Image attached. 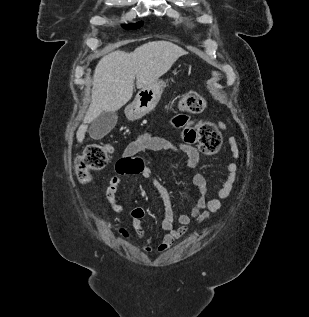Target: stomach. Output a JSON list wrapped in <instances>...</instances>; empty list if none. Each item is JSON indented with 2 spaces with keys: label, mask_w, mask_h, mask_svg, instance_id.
Masks as SVG:
<instances>
[{
  "label": "stomach",
  "mask_w": 309,
  "mask_h": 317,
  "mask_svg": "<svg viewBox=\"0 0 309 317\" xmlns=\"http://www.w3.org/2000/svg\"><path fill=\"white\" fill-rule=\"evenodd\" d=\"M165 86V82L156 81L142 88L133 102L125 108L127 119L134 121L151 112L160 100Z\"/></svg>",
  "instance_id": "1"
}]
</instances>
